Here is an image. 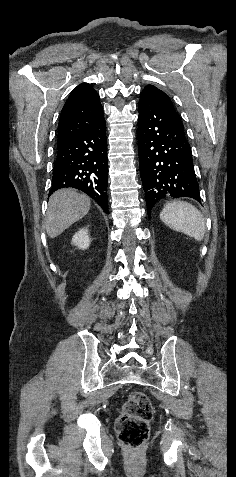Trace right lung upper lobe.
I'll list each match as a JSON object with an SVG mask.
<instances>
[{
	"mask_svg": "<svg viewBox=\"0 0 236 477\" xmlns=\"http://www.w3.org/2000/svg\"><path fill=\"white\" fill-rule=\"evenodd\" d=\"M103 118L100 98L88 83L77 86L67 99L58 124V142L60 148Z\"/></svg>",
	"mask_w": 236,
	"mask_h": 477,
	"instance_id": "right-lung-upper-lobe-1",
	"label": "right lung upper lobe"
}]
</instances>
